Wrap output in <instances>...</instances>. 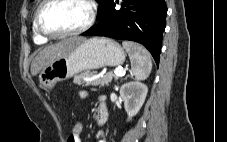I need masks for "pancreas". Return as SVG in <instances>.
I'll use <instances>...</instances> for the list:
<instances>
[{
  "label": "pancreas",
  "instance_id": "1",
  "mask_svg": "<svg viewBox=\"0 0 227 142\" xmlns=\"http://www.w3.org/2000/svg\"><path fill=\"white\" fill-rule=\"evenodd\" d=\"M96 75V73L90 72V71H82L78 75L74 77L73 83L77 85H85V86H108L109 83L113 80V78L116 80L118 77L114 74H104L96 79L85 81V78H92Z\"/></svg>",
  "mask_w": 227,
  "mask_h": 142
}]
</instances>
